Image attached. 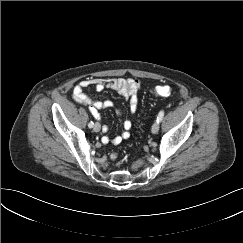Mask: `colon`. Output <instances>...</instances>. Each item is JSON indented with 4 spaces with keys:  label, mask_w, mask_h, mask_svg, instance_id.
<instances>
[{
    "label": "colon",
    "mask_w": 243,
    "mask_h": 243,
    "mask_svg": "<svg viewBox=\"0 0 243 243\" xmlns=\"http://www.w3.org/2000/svg\"><path fill=\"white\" fill-rule=\"evenodd\" d=\"M154 93L160 96L168 97L171 96L173 91L170 86L168 85H159L154 88ZM113 159L116 158V154H112L111 156Z\"/></svg>",
    "instance_id": "obj_1"
}]
</instances>
